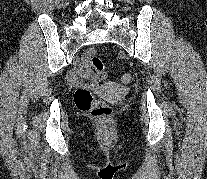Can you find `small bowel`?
Returning <instances> with one entry per match:
<instances>
[{
    "label": "small bowel",
    "instance_id": "obj_1",
    "mask_svg": "<svg viewBox=\"0 0 207 179\" xmlns=\"http://www.w3.org/2000/svg\"><path fill=\"white\" fill-rule=\"evenodd\" d=\"M95 56L93 49L86 50L81 58L80 65L73 72L72 83L76 86H88L96 88L100 82V76L92 70L91 59Z\"/></svg>",
    "mask_w": 207,
    "mask_h": 179
}]
</instances>
